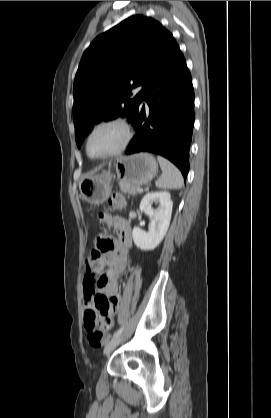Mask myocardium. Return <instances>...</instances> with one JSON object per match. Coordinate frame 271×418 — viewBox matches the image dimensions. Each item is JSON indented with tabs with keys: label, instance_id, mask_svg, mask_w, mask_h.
Here are the masks:
<instances>
[{
	"label": "myocardium",
	"instance_id": "myocardium-1",
	"mask_svg": "<svg viewBox=\"0 0 271 418\" xmlns=\"http://www.w3.org/2000/svg\"><path fill=\"white\" fill-rule=\"evenodd\" d=\"M107 126H115L119 128L122 132V140L121 143L113 150L103 154V155H92L90 152V140L92 136L97 132L99 129L107 127ZM132 138V129L128 122H126L122 118H107L104 120L99 121L96 123L88 132L86 139H85V151L88 157L92 159H107L113 156L119 155L123 151L126 150Z\"/></svg>",
	"mask_w": 271,
	"mask_h": 418
}]
</instances>
